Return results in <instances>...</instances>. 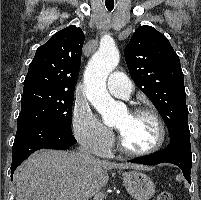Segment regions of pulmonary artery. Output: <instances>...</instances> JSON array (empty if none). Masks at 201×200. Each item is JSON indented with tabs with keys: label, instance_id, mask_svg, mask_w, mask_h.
Instances as JSON below:
<instances>
[{
	"label": "pulmonary artery",
	"instance_id": "e3ab8cb5",
	"mask_svg": "<svg viewBox=\"0 0 201 200\" xmlns=\"http://www.w3.org/2000/svg\"><path fill=\"white\" fill-rule=\"evenodd\" d=\"M110 93L119 98L130 97L133 86L131 81L121 72H113L107 80Z\"/></svg>",
	"mask_w": 201,
	"mask_h": 200
}]
</instances>
